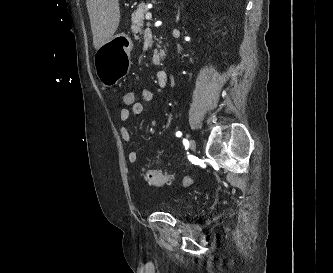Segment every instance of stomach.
<instances>
[{"instance_id":"obj_1","label":"stomach","mask_w":333,"mask_h":273,"mask_svg":"<svg viewBox=\"0 0 333 273\" xmlns=\"http://www.w3.org/2000/svg\"><path fill=\"white\" fill-rule=\"evenodd\" d=\"M133 48L129 35L119 33L103 44L95 53L94 65L99 81L113 86L129 70L128 55Z\"/></svg>"}]
</instances>
